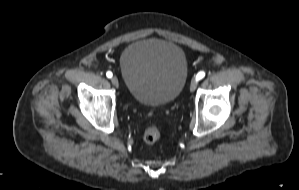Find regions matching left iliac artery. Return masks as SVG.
I'll list each match as a JSON object with an SVG mask.
<instances>
[{
	"instance_id": "44dca946",
	"label": "left iliac artery",
	"mask_w": 299,
	"mask_h": 190,
	"mask_svg": "<svg viewBox=\"0 0 299 190\" xmlns=\"http://www.w3.org/2000/svg\"><path fill=\"white\" fill-rule=\"evenodd\" d=\"M204 76H205V72H204V71H200V72L196 75V80L199 81V80H201Z\"/></svg>"
}]
</instances>
